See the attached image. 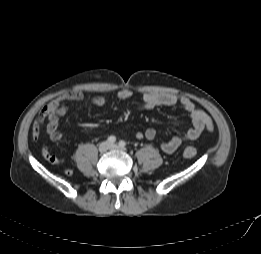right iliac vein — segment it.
<instances>
[{
    "instance_id": "right-iliac-vein-1",
    "label": "right iliac vein",
    "mask_w": 261,
    "mask_h": 254,
    "mask_svg": "<svg viewBox=\"0 0 261 254\" xmlns=\"http://www.w3.org/2000/svg\"><path fill=\"white\" fill-rule=\"evenodd\" d=\"M110 148V145L108 142H102L100 145H99V151L101 153H105L108 149Z\"/></svg>"
}]
</instances>
